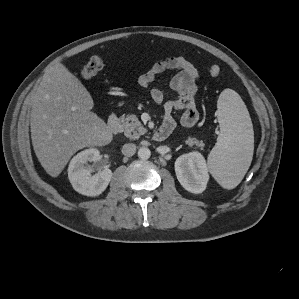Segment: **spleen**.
<instances>
[{"mask_svg":"<svg viewBox=\"0 0 299 299\" xmlns=\"http://www.w3.org/2000/svg\"><path fill=\"white\" fill-rule=\"evenodd\" d=\"M220 134L208 156V168L225 189H234L252 161L254 134L249 112L237 92L225 89L217 101Z\"/></svg>","mask_w":299,"mask_h":299,"instance_id":"3e777b00","label":"spleen"}]
</instances>
